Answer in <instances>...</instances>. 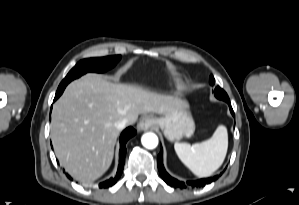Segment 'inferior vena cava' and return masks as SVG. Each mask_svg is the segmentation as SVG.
Here are the masks:
<instances>
[{"label": "inferior vena cava", "mask_w": 299, "mask_h": 205, "mask_svg": "<svg viewBox=\"0 0 299 205\" xmlns=\"http://www.w3.org/2000/svg\"><path fill=\"white\" fill-rule=\"evenodd\" d=\"M129 123L128 119L124 118L120 121H118L115 126L117 129L122 130L127 124Z\"/></svg>", "instance_id": "1"}]
</instances>
